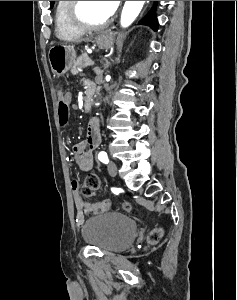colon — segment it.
Segmentation results:
<instances>
[{
    "label": "colon",
    "instance_id": "5ec220e1",
    "mask_svg": "<svg viewBox=\"0 0 237 300\" xmlns=\"http://www.w3.org/2000/svg\"><path fill=\"white\" fill-rule=\"evenodd\" d=\"M60 102H59V108H58V113H59V119L60 123L62 126H66L69 122V117H70V111H69V103L68 101L64 98L65 92L62 91L61 89L58 90ZM100 185V179L97 175L95 174H88L85 177L84 183L81 187V195L84 198H90L95 195L96 191L98 190ZM123 208L126 211H130L131 205L129 203H124ZM162 230L161 229H154L150 232L149 234V242L151 244L157 243L161 237H162Z\"/></svg>",
    "mask_w": 237,
    "mask_h": 300
}]
</instances>
